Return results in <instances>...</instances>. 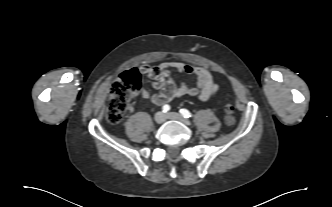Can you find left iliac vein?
Masks as SVG:
<instances>
[{
  "mask_svg": "<svg viewBox=\"0 0 332 207\" xmlns=\"http://www.w3.org/2000/svg\"><path fill=\"white\" fill-rule=\"evenodd\" d=\"M167 118L171 119V120L179 121L185 125L191 124L189 120L185 119L182 115H180L179 113H176V112H169L167 114Z\"/></svg>",
  "mask_w": 332,
  "mask_h": 207,
  "instance_id": "1",
  "label": "left iliac vein"
}]
</instances>
